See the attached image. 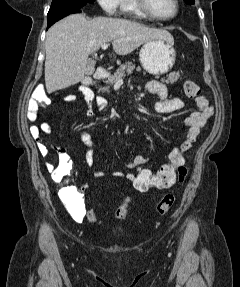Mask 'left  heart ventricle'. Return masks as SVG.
<instances>
[{
    "instance_id": "obj_1",
    "label": "left heart ventricle",
    "mask_w": 240,
    "mask_h": 287,
    "mask_svg": "<svg viewBox=\"0 0 240 287\" xmlns=\"http://www.w3.org/2000/svg\"><path fill=\"white\" fill-rule=\"evenodd\" d=\"M153 12L162 17L170 16L175 10L174 0H149Z\"/></svg>"
}]
</instances>
